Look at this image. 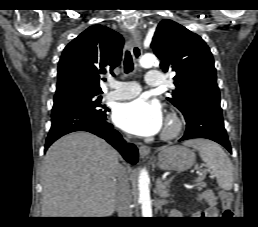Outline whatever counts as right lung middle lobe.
Listing matches in <instances>:
<instances>
[{
	"label": "right lung middle lobe",
	"instance_id": "1",
	"mask_svg": "<svg viewBox=\"0 0 258 227\" xmlns=\"http://www.w3.org/2000/svg\"><path fill=\"white\" fill-rule=\"evenodd\" d=\"M100 94L80 89L65 90L55 94L52 110L75 108L99 118H106L108 109L100 104Z\"/></svg>",
	"mask_w": 258,
	"mask_h": 227
}]
</instances>
